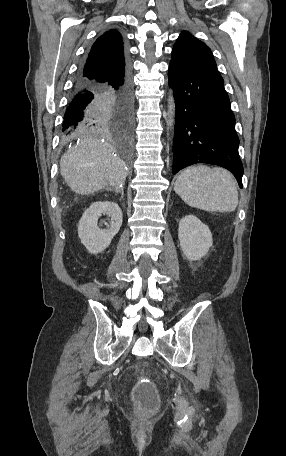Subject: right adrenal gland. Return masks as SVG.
<instances>
[{"mask_svg":"<svg viewBox=\"0 0 286 456\" xmlns=\"http://www.w3.org/2000/svg\"><path fill=\"white\" fill-rule=\"evenodd\" d=\"M120 193H121V197H122V199H123V197H124V190H123V188H120Z\"/></svg>","mask_w":286,"mask_h":456,"instance_id":"obj_1","label":"right adrenal gland"}]
</instances>
